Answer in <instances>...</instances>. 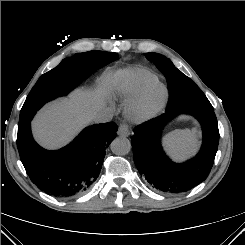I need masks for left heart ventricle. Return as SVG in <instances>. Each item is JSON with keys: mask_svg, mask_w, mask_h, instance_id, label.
Segmentation results:
<instances>
[{"mask_svg": "<svg viewBox=\"0 0 245 245\" xmlns=\"http://www.w3.org/2000/svg\"><path fill=\"white\" fill-rule=\"evenodd\" d=\"M161 95V90L159 88H154L149 93L148 103L150 105L155 104Z\"/></svg>", "mask_w": 245, "mask_h": 245, "instance_id": "left-heart-ventricle-1", "label": "left heart ventricle"}]
</instances>
